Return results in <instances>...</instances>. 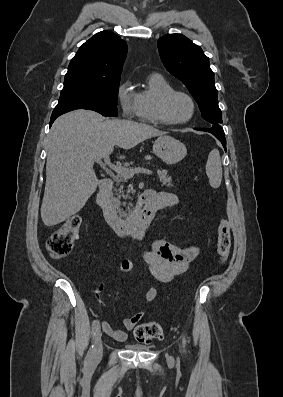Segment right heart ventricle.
<instances>
[{"label":"right heart ventricle","instance_id":"right-heart-ventricle-1","mask_svg":"<svg viewBox=\"0 0 283 397\" xmlns=\"http://www.w3.org/2000/svg\"><path fill=\"white\" fill-rule=\"evenodd\" d=\"M172 90L174 87L163 76L159 74L148 76L144 89L137 93L140 118L147 123L161 124L157 115L158 103L165 93Z\"/></svg>","mask_w":283,"mask_h":397}]
</instances>
